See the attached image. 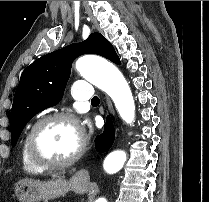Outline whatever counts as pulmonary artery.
Returning a JSON list of instances; mask_svg holds the SVG:
<instances>
[{
  "label": "pulmonary artery",
  "mask_w": 209,
  "mask_h": 202,
  "mask_svg": "<svg viewBox=\"0 0 209 202\" xmlns=\"http://www.w3.org/2000/svg\"><path fill=\"white\" fill-rule=\"evenodd\" d=\"M74 99L76 101L92 100L93 87L86 79H79L72 84Z\"/></svg>",
  "instance_id": "obj_1"
}]
</instances>
